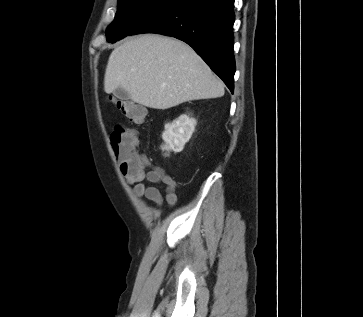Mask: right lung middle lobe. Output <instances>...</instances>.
Wrapping results in <instances>:
<instances>
[{
	"mask_svg": "<svg viewBox=\"0 0 363 317\" xmlns=\"http://www.w3.org/2000/svg\"><path fill=\"white\" fill-rule=\"evenodd\" d=\"M177 0H118V10L107 28V41L115 42Z\"/></svg>",
	"mask_w": 363,
	"mask_h": 317,
	"instance_id": "dd1d6c3e",
	"label": "right lung middle lobe"
}]
</instances>
